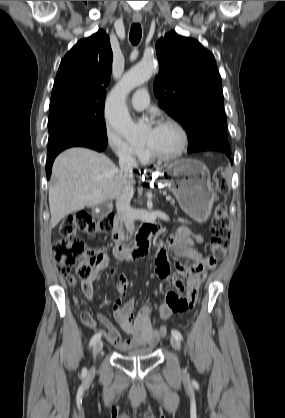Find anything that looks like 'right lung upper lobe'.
I'll use <instances>...</instances> for the list:
<instances>
[{"mask_svg":"<svg viewBox=\"0 0 285 418\" xmlns=\"http://www.w3.org/2000/svg\"><path fill=\"white\" fill-rule=\"evenodd\" d=\"M112 60L109 37L103 30L77 42L60 63L50 104L68 101L104 105Z\"/></svg>","mask_w":285,"mask_h":418,"instance_id":"1","label":"right lung upper lobe"}]
</instances>
